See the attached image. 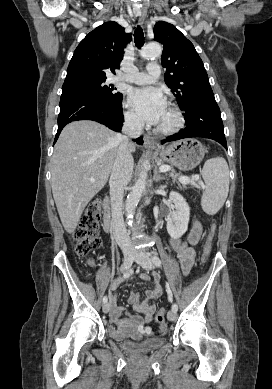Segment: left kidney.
<instances>
[{
  "mask_svg": "<svg viewBox=\"0 0 272 389\" xmlns=\"http://www.w3.org/2000/svg\"><path fill=\"white\" fill-rule=\"evenodd\" d=\"M169 198L174 203L175 210L167 220V231L172 238L178 239L188 229L190 208L185 198L178 192H170Z\"/></svg>",
  "mask_w": 272,
  "mask_h": 389,
  "instance_id": "5707ae66",
  "label": "left kidney"
}]
</instances>
